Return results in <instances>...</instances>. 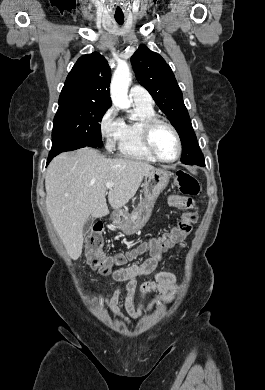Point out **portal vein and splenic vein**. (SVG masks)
Masks as SVG:
<instances>
[{"label":"portal vein and splenic vein","mask_w":265,"mask_h":390,"mask_svg":"<svg viewBox=\"0 0 265 390\" xmlns=\"http://www.w3.org/2000/svg\"><path fill=\"white\" fill-rule=\"evenodd\" d=\"M113 185L114 184L112 182H108V183H106V188L111 189L113 187Z\"/></svg>","instance_id":"obj_1"}]
</instances>
